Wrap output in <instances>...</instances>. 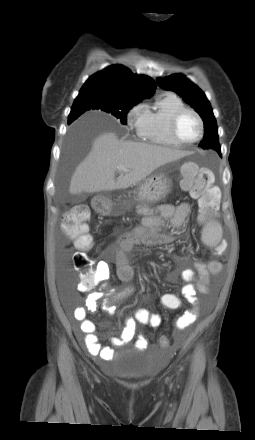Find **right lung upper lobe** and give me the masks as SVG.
<instances>
[{"label":"right lung upper lobe","mask_w":255,"mask_h":440,"mask_svg":"<svg viewBox=\"0 0 255 440\" xmlns=\"http://www.w3.org/2000/svg\"><path fill=\"white\" fill-rule=\"evenodd\" d=\"M156 84L147 76L133 74L122 65H112L90 76L79 95L93 94L107 99L140 102L153 95ZM75 120L72 116L68 123Z\"/></svg>","instance_id":"right-lung-upper-lobe-1"}]
</instances>
